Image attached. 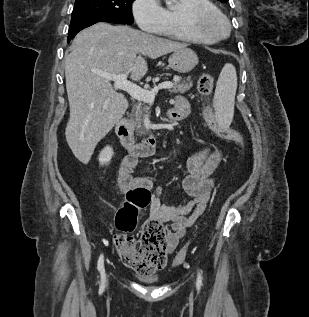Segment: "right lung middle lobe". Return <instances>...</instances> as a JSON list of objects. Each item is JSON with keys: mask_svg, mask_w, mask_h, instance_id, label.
<instances>
[{"mask_svg": "<svg viewBox=\"0 0 309 317\" xmlns=\"http://www.w3.org/2000/svg\"><path fill=\"white\" fill-rule=\"evenodd\" d=\"M135 0H76L71 22L84 18H105L121 24H132V2Z\"/></svg>", "mask_w": 309, "mask_h": 317, "instance_id": "right-lung-middle-lobe-1", "label": "right lung middle lobe"}]
</instances>
